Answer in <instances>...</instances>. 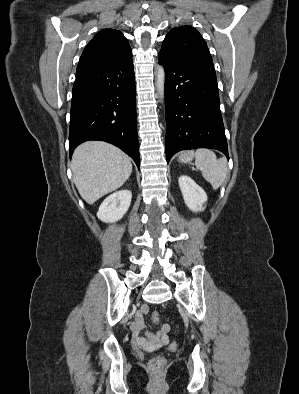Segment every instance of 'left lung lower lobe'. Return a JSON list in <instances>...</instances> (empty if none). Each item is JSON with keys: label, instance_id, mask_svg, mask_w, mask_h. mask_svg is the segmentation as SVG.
I'll use <instances>...</instances> for the list:
<instances>
[{"label": "left lung lower lobe", "instance_id": "left-lung-lower-lobe-1", "mask_svg": "<svg viewBox=\"0 0 299 394\" xmlns=\"http://www.w3.org/2000/svg\"><path fill=\"white\" fill-rule=\"evenodd\" d=\"M165 68L166 160L194 148L228 149L212 61L175 60L159 53Z\"/></svg>", "mask_w": 299, "mask_h": 394}]
</instances>
